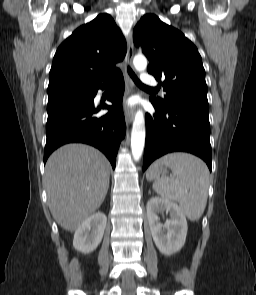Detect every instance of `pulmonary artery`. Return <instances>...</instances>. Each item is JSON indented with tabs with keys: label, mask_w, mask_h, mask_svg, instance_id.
Segmentation results:
<instances>
[{
	"label": "pulmonary artery",
	"mask_w": 256,
	"mask_h": 295,
	"mask_svg": "<svg viewBox=\"0 0 256 295\" xmlns=\"http://www.w3.org/2000/svg\"><path fill=\"white\" fill-rule=\"evenodd\" d=\"M142 83L148 86L157 85L156 80L148 73H142L141 75Z\"/></svg>",
	"instance_id": "obj_1"
}]
</instances>
